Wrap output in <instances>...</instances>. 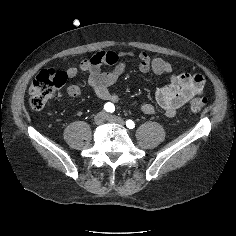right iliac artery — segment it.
<instances>
[{"label": "right iliac artery", "mask_w": 236, "mask_h": 236, "mask_svg": "<svg viewBox=\"0 0 236 236\" xmlns=\"http://www.w3.org/2000/svg\"><path fill=\"white\" fill-rule=\"evenodd\" d=\"M104 109L108 113H113L115 111V107L112 103L108 102L104 105Z\"/></svg>", "instance_id": "82829eb1"}]
</instances>
